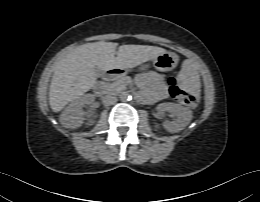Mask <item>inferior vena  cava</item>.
I'll list each match as a JSON object with an SVG mask.
<instances>
[{
    "instance_id": "602c4592",
    "label": "inferior vena cava",
    "mask_w": 260,
    "mask_h": 202,
    "mask_svg": "<svg viewBox=\"0 0 260 202\" xmlns=\"http://www.w3.org/2000/svg\"><path fill=\"white\" fill-rule=\"evenodd\" d=\"M102 102L106 106L113 105L117 102V97L115 95L108 94L102 98Z\"/></svg>"
}]
</instances>
